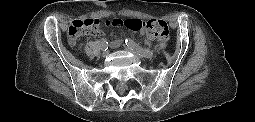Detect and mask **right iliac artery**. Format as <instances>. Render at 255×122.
<instances>
[{
	"label": "right iliac artery",
	"mask_w": 255,
	"mask_h": 122,
	"mask_svg": "<svg viewBox=\"0 0 255 122\" xmlns=\"http://www.w3.org/2000/svg\"><path fill=\"white\" fill-rule=\"evenodd\" d=\"M108 41L106 39H103L101 42L102 49L107 50L108 49Z\"/></svg>",
	"instance_id": "82829eb1"
}]
</instances>
